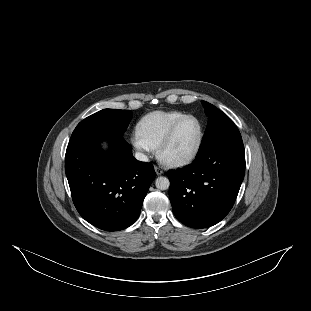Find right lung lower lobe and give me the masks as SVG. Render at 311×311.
I'll list each match as a JSON object with an SVG mask.
<instances>
[{"label":"right lung lower lobe","mask_w":311,"mask_h":311,"mask_svg":"<svg viewBox=\"0 0 311 311\" xmlns=\"http://www.w3.org/2000/svg\"><path fill=\"white\" fill-rule=\"evenodd\" d=\"M107 140V152L100 149ZM65 172L74 205L89 223L105 231L132 225L156 177L153 165L136 160L123 134L89 130L71 136Z\"/></svg>","instance_id":"1"}]
</instances>
